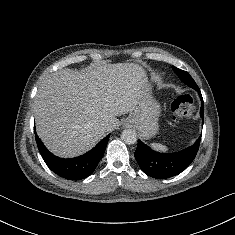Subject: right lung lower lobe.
<instances>
[{"label": "right lung lower lobe", "mask_w": 235, "mask_h": 235, "mask_svg": "<svg viewBox=\"0 0 235 235\" xmlns=\"http://www.w3.org/2000/svg\"><path fill=\"white\" fill-rule=\"evenodd\" d=\"M109 136L101 140L92 150L71 159H62L50 153L35 133L39 152L47 166L57 175L68 180H80L93 173L104 155Z\"/></svg>", "instance_id": "obj_1"}]
</instances>
